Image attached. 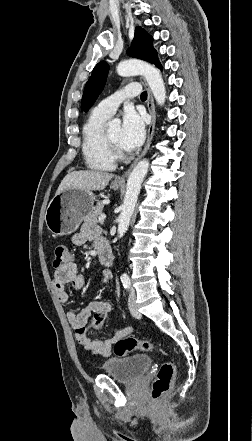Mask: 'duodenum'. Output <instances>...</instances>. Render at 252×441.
I'll return each mask as SVG.
<instances>
[{
    "label": "duodenum",
    "instance_id": "duodenum-1",
    "mask_svg": "<svg viewBox=\"0 0 252 441\" xmlns=\"http://www.w3.org/2000/svg\"><path fill=\"white\" fill-rule=\"evenodd\" d=\"M98 255L100 262L105 266H110L113 261L112 252L109 245H101L98 247Z\"/></svg>",
    "mask_w": 252,
    "mask_h": 441
}]
</instances>
